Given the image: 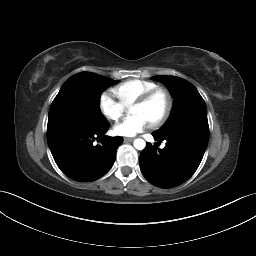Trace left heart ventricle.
<instances>
[{
    "instance_id": "b2bd125f",
    "label": "left heart ventricle",
    "mask_w": 256,
    "mask_h": 256,
    "mask_svg": "<svg viewBox=\"0 0 256 256\" xmlns=\"http://www.w3.org/2000/svg\"><path fill=\"white\" fill-rule=\"evenodd\" d=\"M165 107V97L163 95H157L146 105H134L132 108V114L143 115L149 122H152L162 115Z\"/></svg>"
}]
</instances>
